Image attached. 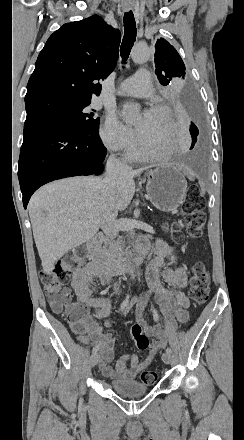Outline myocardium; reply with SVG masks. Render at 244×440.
<instances>
[{
  "label": "myocardium",
  "mask_w": 244,
  "mask_h": 440,
  "mask_svg": "<svg viewBox=\"0 0 244 440\" xmlns=\"http://www.w3.org/2000/svg\"><path fill=\"white\" fill-rule=\"evenodd\" d=\"M151 110L167 113L168 116H169V125L166 128V130H165V136H164V138L162 140L159 141V144H158V146H160L162 148L163 153L161 155L153 156L152 157V160L154 162L165 163V162L169 161L171 156H172V145H173V125H172V121H173V112H172V110L168 106L162 105V104H158V105L153 106L151 108ZM137 132H138V134L140 136V138H137V143H141L143 146H146V147L154 146V145H147L146 144L144 136L141 133L139 128H137Z\"/></svg>",
  "instance_id": "1"
}]
</instances>
